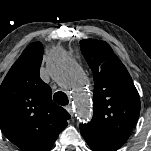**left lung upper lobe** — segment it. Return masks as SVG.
<instances>
[{"instance_id": "obj_1", "label": "left lung upper lobe", "mask_w": 151, "mask_h": 151, "mask_svg": "<svg viewBox=\"0 0 151 151\" xmlns=\"http://www.w3.org/2000/svg\"><path fill=\"white\" fill-rule=\"evenodd\" d=\"M94 77V114L80 125L81 134L128 139L140 114V97L127 69L110 46L101 40L80 41Z\"/></svg>"}]
</instances>
